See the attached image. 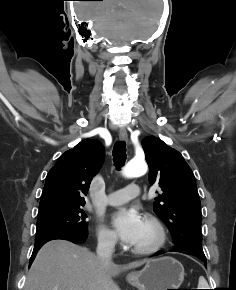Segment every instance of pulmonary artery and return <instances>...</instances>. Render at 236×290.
<instances>
[{
  "mask_svg": "<svg viewBox=\"0 0 236 290\" xmlns=\"http://www.w3.org/2000/svg\"><path fill=\"white\" fill-rule=\"evenodd\" d=\"M139 194L140 189L136 184H128L122 190L109 194L105 199V203L112 206L120 205L138 197Z\"/></svg>",
  "mask_w": 236,
  "mask_h": 290,
  "instance_id": "1",
  "label": "pulmonary artery"
}]
</instances>
